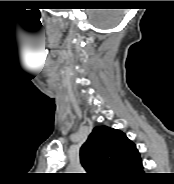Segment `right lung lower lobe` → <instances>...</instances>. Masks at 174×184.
<instances>
[{"label":"right lung lower lobe","mask_w":174,"mask_h":184,"mask_svg":"<svg viewBox=\"0 0 174 184\" xmlns=\"http://www.w3.org/2000/svg\"><path fill=\"white\" fill-rule=\"evenodd\" d=\"M144 174L142 161L139 157L129 165L117 182L120 184L137 183L144 176Z\"/></svg>","instance_id":"obj_1"}]
</instances>
